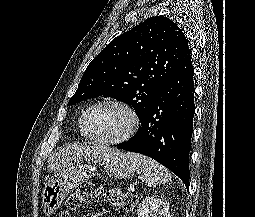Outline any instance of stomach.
<instances>
[{"label": "stomach", "mask_w": 255, "mask_h": 217, "mask_svg": "<svg viewBox=\"0 0 255 217\" xmlns=\"http://www.w3.org/2000/svg\"><path fill=\"white\" fill-rule=\"evenodd\" d=\"M103 165L109 175L118 179L131 178L135 167L127 155L119 150L110 149L97 159H92ZM94 174L92 165L80 162L59 169L45 184L42 192L43 212L49 217L61 206L67 195Z\"/></svg>", "instance_id": "0dacf381"}]
</instances>
